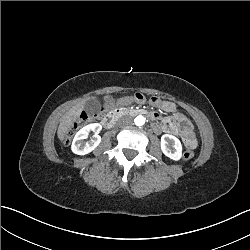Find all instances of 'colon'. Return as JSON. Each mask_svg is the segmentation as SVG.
<instances>
[{"label":"colon","instance_id":"1","mask_svg":"<svg viewBox=\"0 0 250 250\" xmlns=\"http://www.w3.org/2000/svg\"><path fill=\"white\" fill-rule=\"evenodd\" d=\"M152 98L153 99L150 100V105H161V100H159L158 95H153ZM133 100L142 103L145 102L146 96L143 93L138 92L133 96ZM103 111V108L94 105L88 110V112H79L77 114V119L74 121V127L80 129L83 126L96 121V119L99 117V115L102 114ZM74 127H71L66 134L60 135V137L63 139L62 144L65 147H68L71 144L70 140L77 133V130ZM186 145L187 150L181 156L183 160H188L189 158L194 156L195 153L193 150L195 149L197 142L191 136L186 139Z\"/></svg>","mask_w":250,"mask_h":250}]
</instances>
